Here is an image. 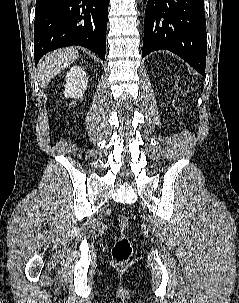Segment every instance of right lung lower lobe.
I'll return each instance as SVG.
<instances>
[{
	"label": "right lung lower lobe",
	"mask_w": 239,
	"mask_h": 303,
	"mask_svg": "<svg viewBox=\"0 0 239 303\" xmlns=\"http://www.w3.org/2000/svg\"><path fill=\"white\" fill-rule=\"evenodd\" d=\"M109 0H36L35 64L57 48L80 45L103 61Z\"/></svg>",
	"instance_id": "right-lung-lower-lobe-1"
}]
</instances>
